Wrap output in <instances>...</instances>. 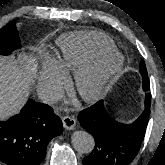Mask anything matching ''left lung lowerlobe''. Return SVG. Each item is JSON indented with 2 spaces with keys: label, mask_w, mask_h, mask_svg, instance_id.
<instances>
[{
  "label": "left lung lower lobe",
  "mask_w": 165,
  "mask_h": 165,
  "mask_svg": "<svg viewBox=\"0 0 165 165\" xmlns=\"http://www.w3.org/2000/svg\"><path fill=\"white\" fill-rule=\"evenodd\" d=\"M149 115L150 105L146 102L143 113L131 124L115 121L102 100L82 110L78 120L95 139L94 150L83 159V165H129L144 139Z\"/></svg>",
  "instance_id": "0a47b994"
}]
</instances>
